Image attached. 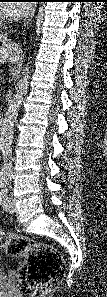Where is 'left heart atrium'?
Listing matches in <instances>:
<instances>
[{
	"label": "left heart atrium",
	"mask_w": 107,
	"mask_h": 297,
	"mask_svg": "<svg viewBox=\"0 0 107 297\" xmlns=\"http://www.w3.org/2000/svg\"><path fill=\"white\" fill-rule=\"evenodd\" d=\"M4 10L8 16L19 18L28 12L29 5L26 3H9L5 6Z\"/></svg>",
	"instance_id": "1"
}]
</instances>
